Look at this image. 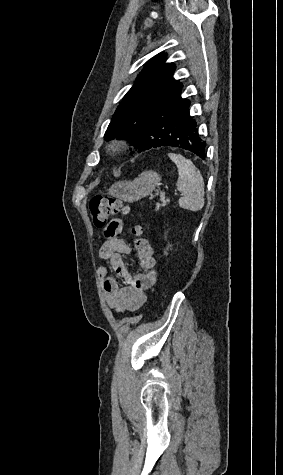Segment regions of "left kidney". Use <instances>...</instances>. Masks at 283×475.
Instances as JSON below:
<instances>
[{"mask_svg": "<svg viewBox=\"0 0 283 475\" xmlns=\"http://www.w3.org/2000/svg\"><path fill=\"white\" fill-rule=\"evenodd\" d=\"M170 249H171V245H169ZM169 247H167V249H169Z\"/></svg>", "mask_w": 283, "mask_h": 475, "instance_id": "obj_1", "label": "left kidney"}]
</instances>
